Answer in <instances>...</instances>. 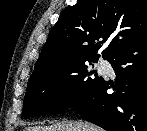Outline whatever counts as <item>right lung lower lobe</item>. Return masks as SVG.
Wrapping results in <instances>:
<instances>
[{
  "mask_svg": "<svg viewBox=\"0 0 147 131\" xmlns=\"http://www.w3.org/2000/svg\"><path fill=\"white\" fill-rule=\"evenodd\" d=\"M115 85L101 78L71 108L107 131H147V36L115 53ZM109 88L115 90L108 94Z\"/></svg>",
  "mask_w": 147,
  "mask_h": 131,
  "instance_id": "1",
  "label": "right lung lower lobe"
}]
</instances>
